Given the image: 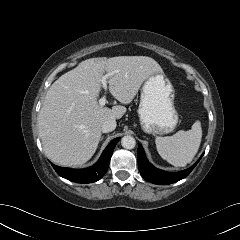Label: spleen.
<instances>
[{
	"instance_id": "spleen-1",
	"label": "spleen",
	"mask_w": 240,
	"mask_h": 240,
	"mask_svg": "<svg viewBox=\"0 0 240 240\" xmlns=\"http://www.w3.org/2000/svg\"><path fill=\"white\" fill-rule=\"evenodd\" d=\"M202 139L199 120L188 131L180 130L173 136L156 137L155 144L159 155L175 167H184L197 154Z\"/></svg>"
}]
</instances>
